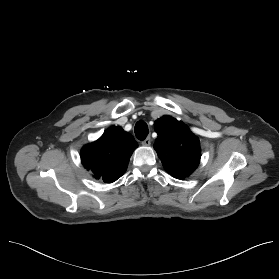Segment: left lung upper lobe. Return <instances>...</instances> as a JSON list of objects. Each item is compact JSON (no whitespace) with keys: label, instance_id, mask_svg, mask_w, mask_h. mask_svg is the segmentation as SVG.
<instances>
[{"label":"left lung upper lobe","instance_id":"5c2ea615","mask_svg":"<svg viewBox=\"0 0 279 279\" xmlns=\"http://www.w3.org/2000/svg\"><path fill=\"white\" fill-rule=\"evenodd\" d=\"M158 137L154 148L165 170L175 178L188 177L201 157L199 139L181 121L163 116L154 123Z\"/></svg>","mask_w":279,"mask_h":279}]
</instances>
